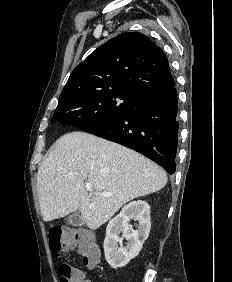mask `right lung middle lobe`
<instances>
[{"mask_svg":"<svg viewBox=\"0 0 232 282\" xmlns=\"http://www.w3.org/2000/svg\"><path fill=\"white\" fill-rule=\"evenodd\" d=\"M142 98L136 92L123 89L78 95L59 101L51 123L61 122L81 129L94 126L133 110Z\"/></svg>","mask_w":232,"mask_h":282,"instance_id":"1","label":"right lung middle lobe"}]
</instances>
